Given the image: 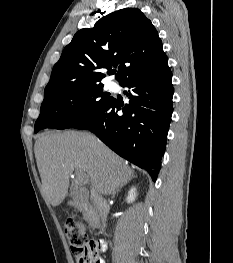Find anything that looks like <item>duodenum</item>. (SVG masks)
<instances>
[{"instance_id":"obj_1","label":"duodenum","mask_w":233,"mask_h":263,"mask_svg":"<svg viewBox=\"0 0 233 263\" xmlns=\"http://www.w3.org/2000/svg\"><path fill=\"white\" fill-rule=\"evenodd\" d=\"M72 204L75 208L84 212L87 220L94 229H100V214L99 211L93 207L87 198L76 197L73 199Z\"/></svg>"}]
</instances>
